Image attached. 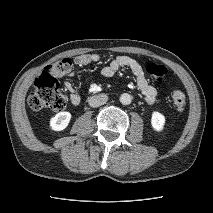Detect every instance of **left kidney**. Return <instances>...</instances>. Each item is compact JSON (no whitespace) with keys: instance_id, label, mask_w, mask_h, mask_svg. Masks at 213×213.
Instances as JSON below:
<instances>
[{"instance_id":"1","label":"left kidney","mask_w":213,"mask_h":213,"mask_svg":"<svg viewBox=\"0 0 213 213\" xmlns=\"http://www.w3.org/2000/svg\"><path fill=\"white\" fill-rule=\"evenodd\" d=\"M151 125L154 130L162 131L165 125V116L157 111L152 113Z\"/></svg>"}]
</instances>
